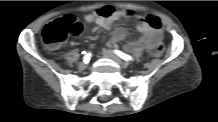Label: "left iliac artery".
<instances>
[{"label":"left iliac artery","instance_id":"left-iliac-artery-1","mask_svg":"<svg viewBox=\"0 0 218 122\" xmlns=\"http://www.w3.org/2000/svg\"><path fill=\"white\" fill-rule=\"evenodd\" d=\"M121 59L125 60V61H132L133 58L128 55V54H125L124 52L120 51V50H115L114 51Z\"/></svg>","mask_w":218,"mask_h":122}]
</instances>
